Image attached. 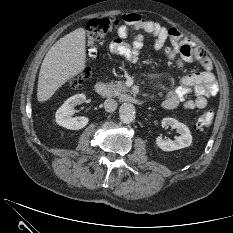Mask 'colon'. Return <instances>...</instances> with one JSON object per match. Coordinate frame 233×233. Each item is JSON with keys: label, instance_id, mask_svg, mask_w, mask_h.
I'll use <instances>...</instances> for the list:
<instances>
[{"label": "colon", "instance_id": "5ec220e1", "mask_svg": "<svg viewBox=\"0 0 233 233\" xmlns=\"http://www.w3.org/2000/svg\"><path fill=\"white\" fill-rule=\"evenodd\" d=\"M118 26V19H92L89 21L86 27V54L88 59L92 60L99 55L102 39ZM172 60L175 62L177 61L175 55H172ZM90 74V68L86 67L81 74L72 81V86H79L83 81L90 77ZM213 118V111H206L193 122V126L197 130H203L211 125Z\"/></svg>", "mask_w": 233, "mask_h": 233}]
</instances>
